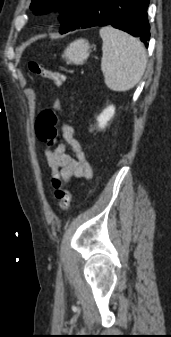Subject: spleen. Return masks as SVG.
<instances>
[{"label":"spleen","instance_id":"1","mask_svg":"<svg viewBox=\"0 0 171 337\" xmlns=\"http://www.w3.org/2000/svg\"><path fill=\"white\" fill-rule=\"evenodd\" d=\"M99 33L103 41L101 70L105 84L117 92L132 89L140 81L147 64L143 44L111 26L101 28Z\"/></svg>","mask_w":171,"mask_h":337}]
</instances>
